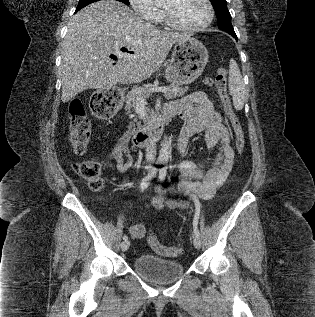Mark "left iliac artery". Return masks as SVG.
I'll list each match as a JSON object with an SVG mask.
<instances>
[{
    "label": "left iliac artery",
    "mask_w": 315,
    "mask_h": 317,
    "mask_svg": "<svg viewBox=\"0 0 315 317\" xmlns=\"http://www.w3.org/2000/svg\"><path fill=\"white\" fill-rule=\"evenodd\" d=\"M166 173H167V167L163 166L160 171H159V178L160 180H164L166 177ZM194 203H195V215H194V220H193V232L195 234V236L199 237L200 233L197 227L198 224V219H199V215H200V208H201V204L200 202L194 198Z\"/></svg>",
    "instance_id": "44dca946"
}]
</instances>
